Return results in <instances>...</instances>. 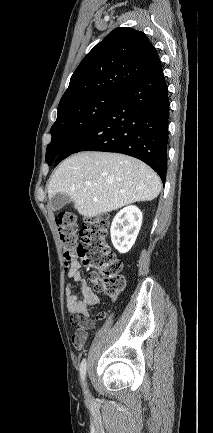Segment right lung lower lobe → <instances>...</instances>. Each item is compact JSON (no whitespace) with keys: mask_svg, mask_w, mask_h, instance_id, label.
<instances>
[{"mask_svg":"<svg viewBox=\"0 0 213 433\" xmlns=\"http://www.w3.org/2000/svg\"><path fill=\"white\" fill-rule=\"evenodd\" d=\"M168 87L158 60L125 91L96 123L75 138L55 159L86 150L117 152L152 167L165 182L169 118Z\"/></svg>","mask_w":213,"mask_h":433,"instance_id":"1","label":"right lung lower lobe"}]
</instances>
